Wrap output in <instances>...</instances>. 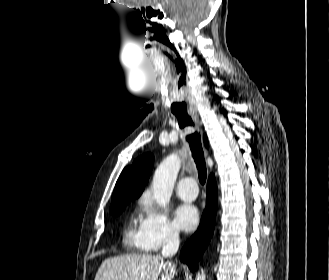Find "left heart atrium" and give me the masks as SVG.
<instances>
[{
  "label": "left heart atrium",
  "mask_w": 329,
  "mask_h": 280,
  "mask_svg": "<svg viewBox=\"0 0 329 280\" xmlns=\"http://www.w3.org/2000/svg\"><path fill=\"white\" fill-rule=\"evenodd\" d=\"M175 219L178 226L184 231L194 230L199 222V213L191 204H181L175 212Z\"/></svg>",
  "instance_id": "obj_1"
}]
</instances>
